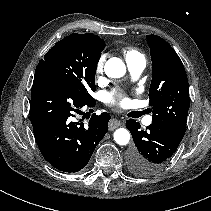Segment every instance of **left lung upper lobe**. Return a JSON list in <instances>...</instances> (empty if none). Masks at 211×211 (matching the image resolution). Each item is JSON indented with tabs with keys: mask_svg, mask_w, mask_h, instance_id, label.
I'll return each mask as SVG.
<instances>
[{
	"mask_svg": "<svg viewBox=\"0 0 211 211\" xmlns=\"http://www.w3.org/2000/svg\"><path fill=\"white\" fill-rule=\"evenodd\" d=\"M153 64L149 89L152 124L176 142H181L186 130L189 110V84L177 53L164 39L147 35Z\"/></svg>",
	"mask_w": 211,
	"mask_h": 211,
	"instance_id": "5c2ea615",
	"label": "left lung upper lobe"
}]
</instances>
